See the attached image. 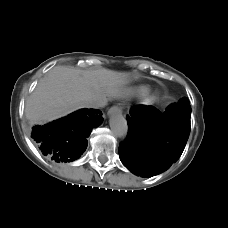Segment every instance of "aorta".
I'll list each match as a JSON object with an SVG mask.
<instances>
[{"instance_id": "obj_1", "label": "aorta", "mask_w": 228, "mask_h": 228, "mask_svg": "<svg viewBox=\"0 0 228 228\" xmlns=\"http://www.w3.org/2000/svg\"><path fill=\"white\" fill-rule=\"evenodd\" d=\"M109 124L113 134L118 137H123L128 132L127 122L120 112L111 116Z\"/></svg>"}]
</instances>
